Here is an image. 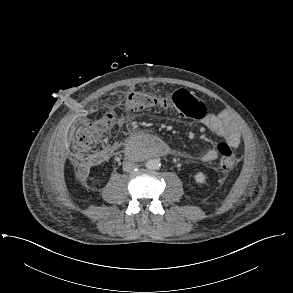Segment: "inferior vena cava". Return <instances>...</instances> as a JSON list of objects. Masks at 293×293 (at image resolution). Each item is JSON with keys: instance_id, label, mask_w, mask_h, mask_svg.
Here are the masks:
<instances>
[{"instance_id": "602c4592", "label": "inferior vena cava", "mask_w": 293, "mask_h": 293, "mask_svg": "<svg viewBox=\"0 0 293 293\" xmlns=\"http://www.w3.org/2000/svg\"><path fill=\"white\" fill-rule=\"evenodd\" d=\"M136 164L133 161H124L123 162V170L125 172H130L134 168H136Z\"/></svg>"}]
</instances>
